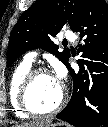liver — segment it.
<instances>
[{"label":"liver","mask_w":108,"mask_h":127,"mask_svg":"<svg viewBox=\"0 0 108 127\" xmlns=\"http://www.w3.org/2000/svg\"><path fill=\"white\" fill-rule=\"evenodd\" d=\"M50 122H51L50 120H41V121L19 124V125H16L15 127H45Z\"/></svg>","instance_id":"liver-1"}]
</instances>
